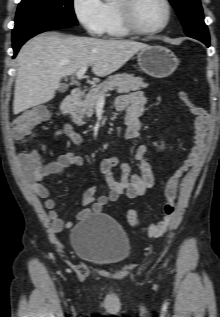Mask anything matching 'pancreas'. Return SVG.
<instances>
[{"label": "pancreas", "instance_id": "1", "mask_svg": "<svg viewBox=\"0 0 220 317\" xmlns=\"http://www.w3.org/2000/svg\"><path fill=\"white\" fill-rule=\"evenodd\" d=\"M147 86L148 84L143 82L142 78L125 73L108 77L104 82L91 89L80 101L73 114L74 123L80 124L83 118L91 117L99 97L108 91L116 89L118 93H128Z\"/></svg>", "mask_w": 220, "mask_h": 317}]
</instances>
